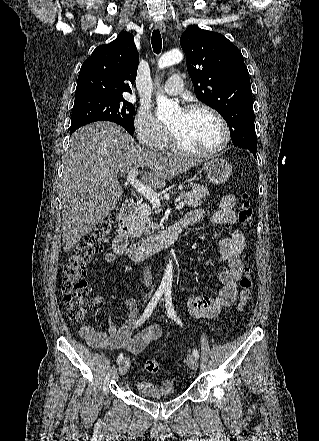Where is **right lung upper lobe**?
<instances>
[{
    "label": "right lung upper lobe",
    "instance_id": "1",
    "mask_svg": "<svg viewBox=\"0 0 319 441\" xmlns=\"http://www.w3.org/2000/svg\"><path fill=\"white\" fill-rule=\"evenodd\" d=\"M139 53L134 36L121 32L109 44L98 46L81 66L75 99L123 97L136 80Z\"/></svg>",
    "mask_w": 319,
    "mask_h": 441
}]
</instances>
